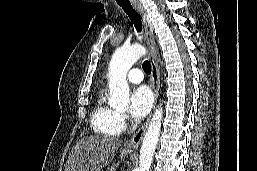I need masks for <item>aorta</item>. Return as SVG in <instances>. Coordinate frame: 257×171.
I'll return each instance as SVG.
<instances>
[{"mask_svg": "<svg viewBox=\"0 0 257 171\" xmlns=\"http://www.w3.org/2000/svg\"><path fill=\"white\" fill-rule=\"evenodd\" d=\"M146 54L145 47L135 44L130 47L117 48L109 64V103L115 108H127L129 102V86L127 72L132 65ZM163 118L162 108L156 109L144 135L140 149L139 168L137 171H149L153 154L158 142L161 122Z\"/></svg>", "mask_w": 257, "mask_h": 171, "instance_id": "1", "label": "aorta"}]
</instances>
